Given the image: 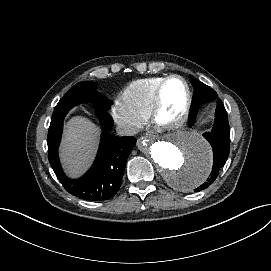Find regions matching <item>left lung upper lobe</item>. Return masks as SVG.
<instances>
[{"label":"left lung upper lobe","mask_w":271,"mask_h":271,"mask_svg":"<svg viewBox=\"0 0 271 271\" xmlns=\"http://www.w3.org/2000/svg\"><path fill=\"white\" fill-rule=\"evenodd\" d=\"M190 81L194 87V96L192 101L191 112L198 111L199 107L213 100H217V93L206 84L198 81L192 75L189 76Z\"/></svg>","instance_id":"1"}]
</instances>
